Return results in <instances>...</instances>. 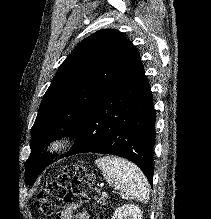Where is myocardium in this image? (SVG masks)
Here are the masks:
<instances>
[{"mask_svg":"<svg viewBox=\"0 0 211 219\" xmlns=\"http://www.w3.org/2000/svg\"><path fill=\"white\" fill-rule=\"evenodd\" d=\"M74 140L70 136L53 137L44 146V152L49 156H58L67 152L73 145Z\"/></svg>","mask_w":211,"mask_h":219,"instance_id":"obj_1","label":"myocardium"}]
</instances>
